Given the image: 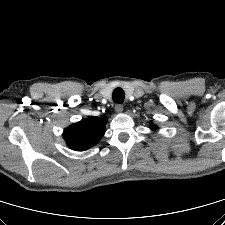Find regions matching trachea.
I'll list each match as a JSON object with an SVG mask.
<instances>
[{
  "mask_svg": "<svg viewBox=\"0 0 225 225\" xmlns=\"http://www.w3.org/2000/svg\"><path fill=\"white\" fill-rule=\"evenodd\" d=\"M113 101L115 103H123L125 98V92L122 88L118 87L113 91L112 94Z\"/></svg>",
  "mask_w": 225,
  "mask_h": 225,
  "instance_id": "obj_1",
  "label": "trachea"
}]
</instances>
